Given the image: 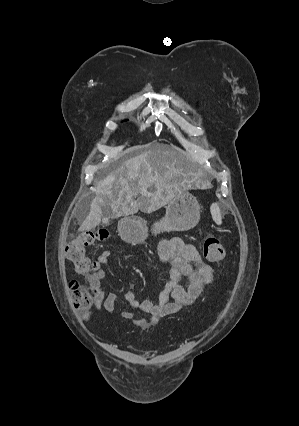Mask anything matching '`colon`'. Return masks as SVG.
I'll use <instances>...</instances> for the list:
<instances>
[{
	"label": "colon",
	"mask_w": 299,
	"mask_h": 426,
	"mask_svg": "<svg viewBox=\"0 0 299 426\" xmlns=\"http://www.w3.org/2000/svg\"><path fill=\"white\" fill-rule=\"evenodd\" d=\"M108 235L109 232L106 229L86 231L69 242L66 256L73 263L78 273L91 274L97 269L96 263L87 255V248L97 241L106 239ZM203 253L207 260L219 262L225 256V249L220 239L210 234L204 241ZM69 286L74 307L84 318H87L93 301L92 291L77 281H72ZM169 299L171 303H185L188 299L187 286H177L170 293Z\"/></svg>",
	"instance_id": "1"
}]
</instances>
